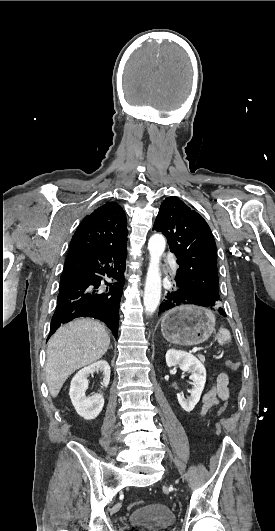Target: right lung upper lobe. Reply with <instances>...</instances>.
Returning <instances> with one entry per match:
<instances>
[{
  "label": "right lung upper lobe",
  "mask_w": 275,
  "mask_h": 531,
  "mask_svg": "<svg viewBox=\"0 0 275 531\" xmlns=\"http://www.w3.org/2000/svg\"><path fill=\"white\" fill-rule=\"evenodd\" d=\"M127 235L125 212L119 204L108 202L82 220L71 239L67 257L126 245Z\"/></svg>",
  "instance_id": "obj_1"
}]
</instances>
